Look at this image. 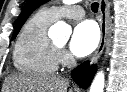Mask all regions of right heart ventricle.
Wrapping results in <instances>:
<instances>
[{
	"instance_id": "right-heart-ventricle-1",
	"label": "right heart ventricle",
	"mask_w": 127,
	"mask_h": 92,
	"mask_svg": "<svg viewBox=\"0 0 127 92\" xmlns=\"http://www.w3.org/2000/svg\"><path fill=\"white\" fill-rule=\"evenodd\" d=\"M55 21L45 10L33 15L23 26L14 47L15 68L28 75L53 74L59 64L58 50L47 35Z\"/></svg>"
}]
</instances>
